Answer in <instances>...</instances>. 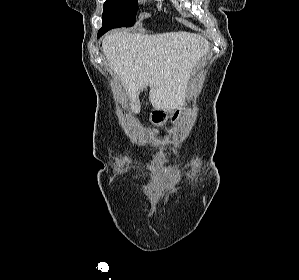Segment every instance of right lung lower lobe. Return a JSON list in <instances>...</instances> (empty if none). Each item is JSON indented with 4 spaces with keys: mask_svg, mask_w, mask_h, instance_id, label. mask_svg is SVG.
Instances as JSON below:
<instances>
[{
    "mask_svg": "<svg viewBox=\"0 0 299 280\" xmlns=\"http://www.w3.org/2000/svg\"><path fill=\"white\" fill-rule=\"evenodd\" d=\"M110 29H112V26L107 25L105 22H103L102 28L98 31L97 38L101 37L104 33H106Z\"/></svg>",
    "mask_w": 299,
    "mask_h": 280,
    "instance_id": "obj_1",
    "label": "right lung lower lobe"
}]
</instances>
